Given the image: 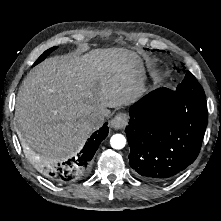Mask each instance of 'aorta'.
I'll return each instance as SVG.
<instances>
[{
  "mask_svg": "<svg viewBox=\"0 0 221 221\" xmlns=\"http://www.w3.org/2000/svg\"><path fill=\"white\" fill-rule=\"evenodd\" d=\"M126 139L122 134H114L110 139V145L114 149H122L125 147Z\"/></svg>",
  "mask_w": 221,
  "mask_h": 221,
  "instance_id": "obj_1",
  "label": "aorta"
}]
</instances>
